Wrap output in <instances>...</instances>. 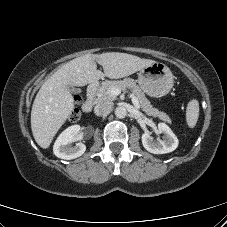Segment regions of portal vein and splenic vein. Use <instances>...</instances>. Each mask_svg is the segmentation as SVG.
I'll use <instances>...</instances> for the list:
<instances>
[{"label": "portal vein and splenic vein", "instance_id": "portal-vein-and-splenic-vein-1", "mask_svg": "<svg viewBox=\"0 0 227 227\" xmlns=\"http://www.w3.org/2000/svg\"><path fill=\"white\" fill-rule=\"evenodd\" d=\"M111 93H112V95L117 96V95H119L121 93V90L118 89V88H112L111 89ZM130 97H131L132 102L135 105V107L139 108L140 105H139V101L137 100V98L133 94H131Z\"/></svg>", "mask_w": 227, "mask_h": 227}]
</instances>
